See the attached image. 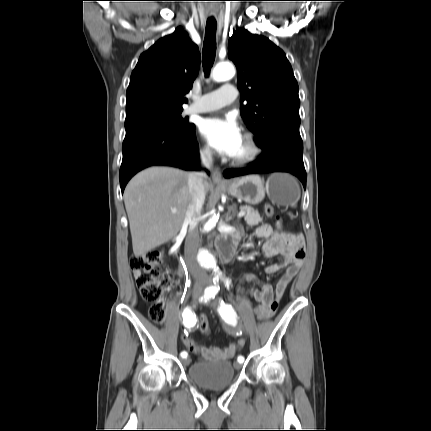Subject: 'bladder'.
<instances>
[{"label":"bladder","mask_w":431,"mask_h":431,"mask_svg":"<svg viewBox=\"0 0 431 431\" xmlns=\"http://www.w3.org/2000/svg\"><path fill=\"white\" fill-rule=\"evenodd\" d=\"M188 377L202 388L223 389L234 382L236 370L227 360L200 361L188 368Z\"/></svg>","instance_id":"1"}]
</instances>
